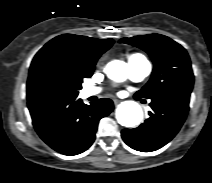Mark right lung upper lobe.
<instances>
[{"label": "right lung upper lobe", "mask_w": 212, "mask_h": 183, "mask_svg": "<svg viewBox=\"0 0 212 183\" xmlns=\"http://www.w3.org/2000/svg\"><path fill=\"white\" fill-rule=\"evenodd\" d=\"M113 42L112 39L101 40L73 34L57 36L35 55L28 82L40 62L48 56H56L83 73H93L97 59L112 46ZM35 98L28 90L27 83L28 101Z\"/></svg>", "instance_id": "right-lung-upper-lobe-1"}]
</instances>
